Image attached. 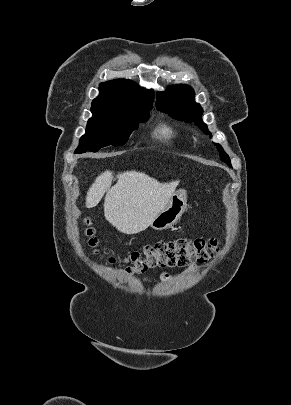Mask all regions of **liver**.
Listing matches in <instances>:
<instances>
[{
    "label": "liver",
    "mask_w": 291,
    "mask_h": 405,
    "mask_svg": "<svg viewBox=\"0 0 291 405\" xmlns=\"http://www.w3.org/2000/svg\"><path fill=\"white\" fill-rule=\"evenodd\" d=\"M113 174L105 171L91 185L86 207H95L104 194V216L118 231L136 234L149 227L165 208L179 181L160 183L145 173L126 171L118 174L111 187Z\"/></svg>",
    "instance_id": "1"
}]
</instances>
